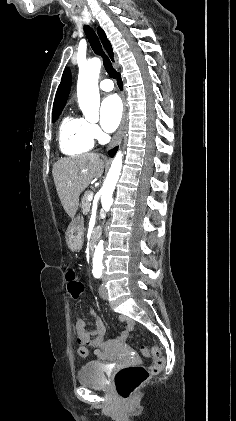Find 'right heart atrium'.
Segmentation results:
<instances>
[{
    "mask_svg": "<svg viewBox=\"0 0 236 421\" xmlns=\"http://www.w3.org/2000/svg\"><path fill=\"white\" fill-rule=\"evenodd\" d=\"M89 131L93 137V139H98L101 136L100 129L98 125L92 121H87Z\"/></svg>",
    "mask_w": 236,
    "mask_h": 421,
    "instance_id": "d8ad5b80",
    "label": "right heart atrium"
}]
</instances>
